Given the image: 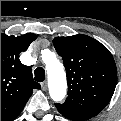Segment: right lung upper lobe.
<instances>
[{"label": "right lung upper lobe", "instance_id": "1", "mask_svg": "<svg viewBox=\"0 0 121 121\" xmlns=\"http://www.w3.org/2000/svg\"><path fill=\"white\" fill-rule=\"evenodd\" d=\"M37 38L33 33L20 37L1 33V121H13L24 108L34 88L40 84L33 81L30 66L23 65L19 54L27 50Z\"/></svg>", "mask_w": 121, "mask_h": 121}]
</instances>
